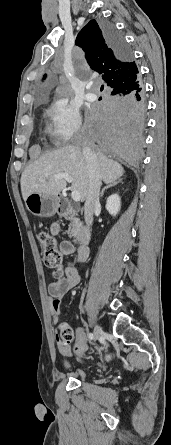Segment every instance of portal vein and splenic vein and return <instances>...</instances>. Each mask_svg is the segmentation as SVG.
Returning <instances> with one entry per match:
<instances>
[{
    "label": "portal vein and splenic vein",
    "instance_id": "obj_1",
    "mask_svg": "<svg viewBox=\"0 0 171 445\" xmlns=\"http://www.w3.org/2000/svg\"><path fill=\"white\" fill-rule=\"evenodd\" d=\"M54 179H65L68 183H72V177L67 173L56 174L54 175ZM71 197L75 202H79L81 200V195L77 190L72 191Z\"/></svg>",
    "mask_w": 171,
    "mask_h": 445
}]
</instances>
